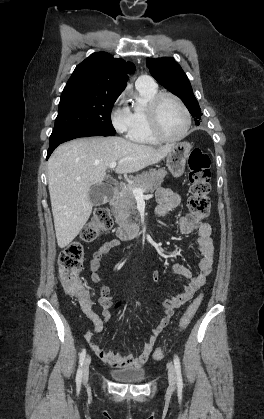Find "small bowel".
I'll list each match as a JSON object with an SVG mask.
<instances>
[{
    "instance_id": "small-bowel-1",
    "label": "small bowel",
    "mask_w": 264,
    "mask_h": 419,
    "mask_svg": "<svg viewBox=\"0 0 264 419\" xmlns=\"http://www.w3.org/2000/svg\"><path fill=\"white\" fill-rule=\"evenodd\" d=\"M157 201L158 206L156 208V215L161 219L180 204L181 196L169 188H162L157 192ZM176 226L183 234H190L193 230L191 224L184 217L177 220ZM197 243L200 255L197 273L194 275L188 267L182 264H175L172 266V273L188 280V283L184 286L183 291L179 295L160 301L164 317L151 330L148 341L143 345L141 352L138 355L132 353H114L110 350H105L94 341V335L102 332L104 322L110 319L109 309L112 306V296L109 287L103 285L99 292V303L103 308L102 318L93 312L91 307L82 305L84 313L92 321L94 326L93 331L85 334V340L99 359L110 366L117 368L131 366L141 367L146 363L158 336L169 325L174 311L192 299L194 294L205 284L206 277L212 271L214 263V245L211 239V226L208 223H203L199 226ZM119 245L120 240L118 238H113L101 244L94 253L90 263V277L93 282L97 283L101 280L99 271L103 258ZM152 279L158 283L160 280L159 274L153 272ZM119 306L120 304L118 303L115 305V308H118Z\"/></svg>"
}]
</instances>
